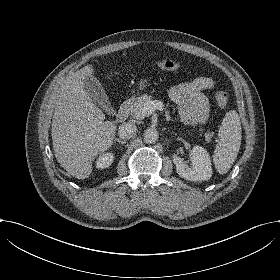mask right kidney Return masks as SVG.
Wrapping results in <instances>:
<instances>
[{
    "mask_svg": "<svg viewBox=\"0 0 280 280\" xmlns=\"http://www.w3.org/2000/svg\"><path fill=\"white\" fill-rule=\"evenodd\" d=\"M115 155L112 151L101 153L95 159V168L97 170H103L109 168L113 163Z\"/></svg>",
    "mask_w": 280,
    "mask_h": 280,
    "instance_id": "right-kidney-1",
    "label": "right kidney"
}]
</instances>
